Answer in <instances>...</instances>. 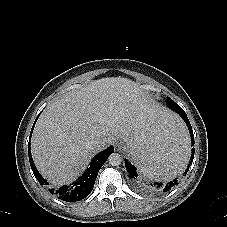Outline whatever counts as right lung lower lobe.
<instances>
[{"label": "right lung lower lobe", "mask_w": 227, "mask_h": 227, "mask_svg": "<svg viewBox=\"0 0 227 227\" xmlns=\"http://www.w3.org/2000/svg\"><path fill=\"white\" fill-rule=\"evenodd\" d=\"M36 120L34 122V125L36 123ZM34 125L32 127L30 136L32 134ZM113 152H114L113 146H110L106 150L100 152L92 159L91 163L89 164V167L86 169L83 175L79 179H77L73 184L62 186L56 190L52 189L50 190V192L52 194H56L61 200H64L67 202L79 201L85 198L92 191L94 187V182L97 178L100 168L103 166V164L105 163V160L109 157V155H111ZM28 154H29L30 165L36 179L41 185L43 184L47 185V181L41 177L32 160L31 151H30V141L28 144Z\"/></svg>", "instance_id": "1"}]
</instances>
